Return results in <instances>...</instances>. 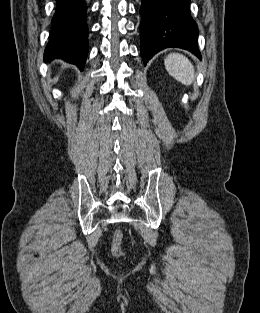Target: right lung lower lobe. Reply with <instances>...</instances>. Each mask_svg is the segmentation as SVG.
<instances>
[{"label":"right lung lower lobe","mask_w":260,"mask_h":313,"mask_svg":"<svg viewBox=\"0 0 260 313\" xmlns=\"http://www.w3.org/2000/svg\"><path fill=\"white\" fill-rule=\"evenodd\" d=\"M49 43L44 60L63 59L83 69L88 52L85 0H56Z\"/></svg>","instance_id":"right-lung-lower-lobe-1"}]
</instances>
